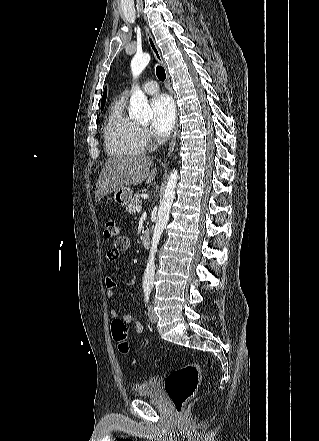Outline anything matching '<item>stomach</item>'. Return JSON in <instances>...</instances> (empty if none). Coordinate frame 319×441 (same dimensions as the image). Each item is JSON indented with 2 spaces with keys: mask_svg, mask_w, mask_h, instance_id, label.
<instances>
[{
  "mask_svg": "<svg viewBox=\"0 0 319 441\" xmlns=\"http://www.w3.org/2000/svg\"><path fill=\"white\" fill-rule=\"evenodd\" d=\"M133 196V191L130 188L124 187L115 191L114 200L120 206H126L130 204Z\"/></svg>",
  "mask_w": 319,
  "mask_h": 441,
  "instance_id": "0dacf381",
  "label": "stomach"
}]
</instances>
